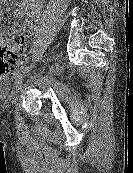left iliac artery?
<instances>
[{
	"mask_svg": "<svg viewBox=\"0 0 133 173\" xmlns=\"http://www.w3.org/2000/svg\"><path fill=\"white\" fill-rule=\"evenodd\" d=\"M32 66H25L22 67L20 70H18L15 74H14V78L18 79L20 77H22Z\"/></svg>",
	"mask_w": 133,
	"mask_h": 173,
	"instance_id": "44dca946",
	"label": "left iliac artery"
}]
</instances>
